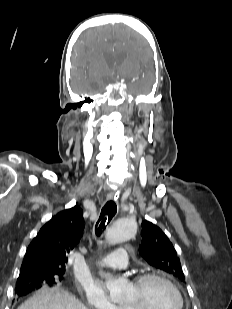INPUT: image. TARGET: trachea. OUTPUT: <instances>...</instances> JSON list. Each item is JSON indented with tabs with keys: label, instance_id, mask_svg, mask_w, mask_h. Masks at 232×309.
Listing matches in <instances>:
<instances>
[{
	"label": "trachea",
	"instance_id": "obj_1",
	"mask_svg": "<svg viewBox=\"0 0 232 309\" xmlns=\"http://www.w3.org/2000/svg\"><path fill=\"white\" fill-rule=\"evenodd\" d=\"M117 212V205L114 201H108L102 208L99 219L95 226V233L100 236L102 231L105 230L106 225L112 220Z\"/></svg>",
	"mask_w": 232,
	"mask_h": 309
}]
</instances>
